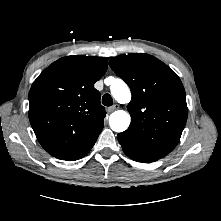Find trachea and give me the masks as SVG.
Wrapping results in <instances>:
<instances>
[{"instance_id":"1","label":"trachea","mask_w":221,"mask_h":221,"mask_svg":"<svg viewBox=\"0 0 221 221\" xmlns=\"http://www.w3.org/2000/svg\"><path fill=\"white\" fill-rule=\"evenodd\" d=\"M102 104L105 106H112L113 105V99L110 94H104L102 97Z\"/></svg>"}]
</instances>
